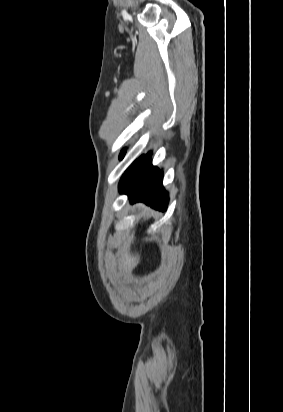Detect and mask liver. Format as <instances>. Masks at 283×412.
<instances>
[{"label":"liver","mask_w":283,"mask_h":412,"mask_svg":"<svg viewBox=\"0 0 283 412\" xmlns=\"http://www.w3.org/2000/svg\"><path fill=\"white\" fill-rule=\"evenodd\" d=\"M138 261H139V256L138 255H136L133 258H130V257L126 256L125 260H124V266L128 267V268H131L136 264V262L138 263Z\"/></svg>","instance_id":"liver-1"}]
</instances>
